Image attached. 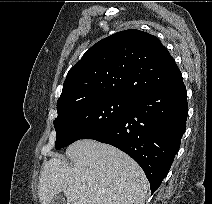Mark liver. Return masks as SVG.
Segmentation results:
<instances>
[{
	"instance_id": "liver-1",
	"label": "liver",
	"mask_w": 212,
	"mask_h": 204,
	"mask_svg": "<svg viewBox=\"0 0 212 204\" xmlns=\"http://www.w3.org/2000/svg\"><path fill=\"white\" fill-rule=\"evenodd\" d=\"M74 163L69 167L54 155L41 170L38 196L50 204L63 192L67 204H144L149 188L141 167L127 154L109 144L78 140L66 150ZM85 186L84 191L80 187Z\"/></svg>"
}]
</instances>
